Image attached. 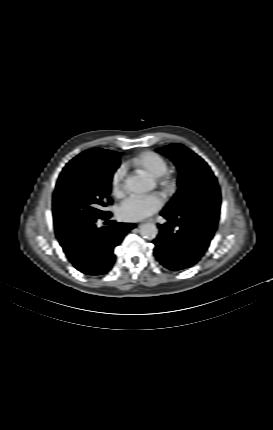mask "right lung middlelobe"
<instances>
[{
  "label": "right lung middle lobe",
  "mask_w": 273,
  "mask_h": 430,
  "mask_svg": "<svg viewBox=\"0 0 273 430\" xmlns=\"http://www.w3.org/2000/svg\"><path fill=\"white\" fill-rule=\"evenodd\" d=\"M119 164V159L81 153L66 165L53 195L54 227L59 240L110 214L104 207Z\"/></svg>",
  "instance_id": "right-lung-middle-lobe-1"
}]
</instances>
